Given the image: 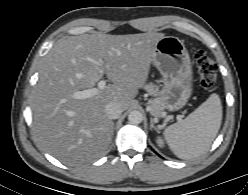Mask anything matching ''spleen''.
Segmentation results:
<instances>
[{
    "mask_svg": "<svg viewBox=\"0 0 248 195\" xmlns=\"http://www.w3.org/2000/svg\"><path fill=\"white\" fill-rule=\"evenodd\" d=\"M221 121V100L214 93L185 119L168 126L163 135L178 158L193 159L209 150Z\"/></svg>",
    "mask_w": 248,
    "mask_h": 195,
    "instance_id": "3e777b00",
    "label": "spleen"
}]
</instances>
